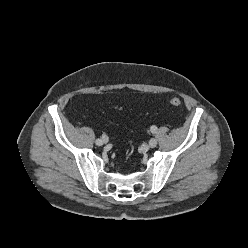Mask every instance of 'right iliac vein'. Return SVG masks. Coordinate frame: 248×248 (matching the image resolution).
<instances>
[{"label":"right iliac vein","mask_w":248,"mask_h":248,"mask_svg":"<svg viewBox=\"0 0 248 248\" xmlns=\"http://www.w3.org/2000/svg\"><path fill=\"white\" fill-rule=\"evenodd\" d=\"M101 139V138H100ZM102 141H103V144H106L107 142H108V140L107 139H102ZM102 144V145H103Z\"/></svg>","instance_id":"1"}]
</instances>
